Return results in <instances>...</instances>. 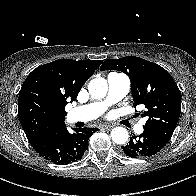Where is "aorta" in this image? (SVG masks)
Instances as JSON below:
<instances>
[{"label":"aorta","mask_w":196,"mask_h":196,"mask_svg":"<svg viewBox=\"0 0 196 196\" xmlns=\"http://www.w3.org/2000/svg\"><path fill=\"white\" fill-rule=\"evenodd\" d=\"M88 90L94 98H104L108 91L107 81L104 78L92 79L88 84ZM111 137L116 144L121 145L128 141L129 134L127 129L123 127H116L112 129Z\"/></svg>","instance_id":"1"}]
</instances>
